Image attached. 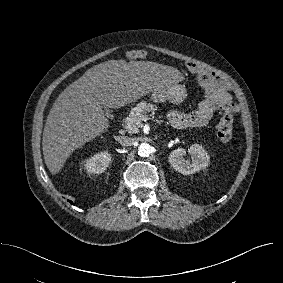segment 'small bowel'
<instances>
[{
    "instance_id": "c3829d8e",
    "label": "small bowel",
    "mask_w": 283,
    "mask_h": 283,
    "mask_svg": "<svg viewBox=\"0 0 283 283\" xmlns=\"http://www.w3.org/2000/svg\"><path fill=\"white\" fill-rule=\"evenodd\" d=\"M188 68L197 75L199 84L204 91V97L187 114L170 111L168 119L173 127L185 129L204 126L213 118L218 107L226 106L232 110L237 109V105L227 91L226 83L222 78L197 64L190 63Z\"/></svg>"
}]
</instances>
